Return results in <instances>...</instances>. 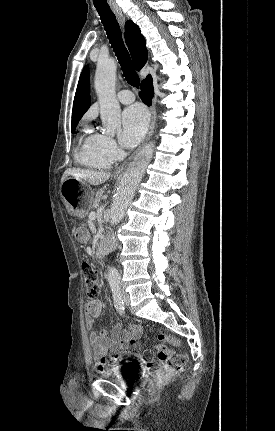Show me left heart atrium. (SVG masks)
<instances>
[{"label": "left heart atrium", "mask_w": 275, "mask_h": 431, "mask_svg": "<svg viewBox=\"0 0 275 431\" xmlns=\"http://www.w3.org/2000/svg\"><path fill=\"white\" fill-rule=\"evenodd\" d=\"M148 127V115L140 105L126 108L122 114L120 142L126 148L136 146L144 137Z\"/></svg>", "instance_id": "1"}]
</instances>
